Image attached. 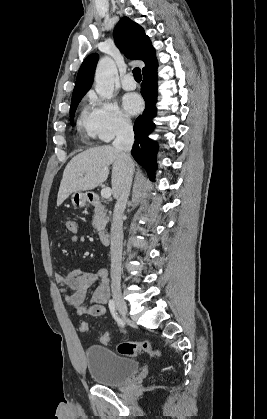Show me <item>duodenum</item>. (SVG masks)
Returning a JSON list of instances; mask_svg holds the SVG:
<instances>
[{
	"instance_id": "1",
	"label": "duodenum",
	"mask_w": 267,
	"mask_h": 419,
	"mask_svg": "<svg viewBox=\"0 0 267 419\" xmlns=\"http://www.w3.org/2000/svg\"><path fill=\"white\" fill-rule=\"evenodd\" d=\"M88 201L93 206H97V207L101 206V199L98 195H95V194L89 195ZM99 239L103 244H107L109 242L110 231L107 227L104 226L99 230Z\"/></svg>"
}]
</instances>
